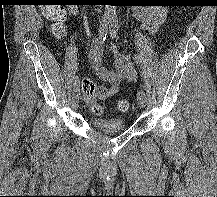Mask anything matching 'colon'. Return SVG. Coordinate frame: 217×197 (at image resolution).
Instances as JSON below:
<instances>
[{
    "label": "colon",
    "instance_id": "colon-1",
    "mask_svg": "<svg viewBox=\"0 0 217 197\" xmlns=\"http://www.w3.org/2000/svg\"><path fill=\"white\" fill-rule=\"evenodd\" d=\"M43 15L51 21V31L54 37L61 38L65 34V23L67 14L64 6L59 0H41ZM82 92L84 97L89 101L91 110L96 115H101L103 110L100 105L96 103L97 100L103 99L107 90L103 86L96 85L91 79L85 78L82 81ZM117 108L121 112H127L130 109V102L126 99L117 101Z\"/></svg>",
    "mask_w": 217,
    "mask_h": 197
}]
</instances>
